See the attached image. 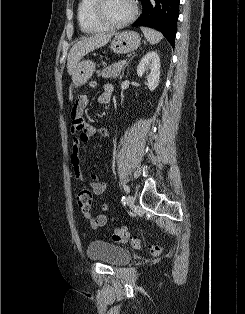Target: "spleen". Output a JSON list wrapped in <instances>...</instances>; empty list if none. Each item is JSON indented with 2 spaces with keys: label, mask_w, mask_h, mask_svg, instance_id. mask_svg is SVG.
<instances>
[{
  "label": "spleen",
  "mask_w": 245,
  "mask_h": 314,
  "mask_svg": "<svg viewBox=\"0 0 245 314\" xmlns=\"http://www.w3.org/2000/svg\"><path fill=\"white\" fill-rule=\"evenodd\" d=\"M141 31L143 32L147 41H149L151 44H156L163 39V35L154 29L142 26Z\"/></svg>",
  "instance_id": "obj_1"
}]
</instances>
